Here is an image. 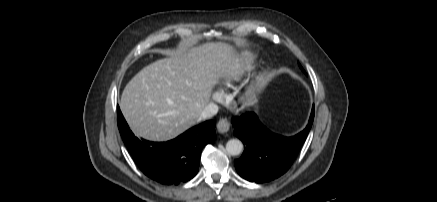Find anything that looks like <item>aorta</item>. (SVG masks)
I'll return each mask as SVG.
<instances>
[{
  "label": "aorta",
  "instance_id": "obj_1",
  "mask_svg": "<svg viewBox=\"0 0 437 202\" xmlns=\"http://www.w3.org/2000/svg\"><path fill=\"white\" fill-rule=\"evenodd\" d=\"M243 150V144L238 139H231L226 143V151L229 155H239Z\"/></svg>",
  "mask_w": 437,
  "mask_h": 202
}]
</instances>
